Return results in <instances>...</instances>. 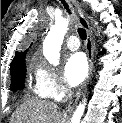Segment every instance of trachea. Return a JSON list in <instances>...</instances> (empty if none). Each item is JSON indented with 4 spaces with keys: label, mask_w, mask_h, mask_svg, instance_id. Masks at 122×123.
<instances>
[{
    "label": "trachea",
    "mask_w": 122,
    "mask_h": 123,
    "mask_svg": "<svg viewBox=\"0 0 122 123\" xmlns=\"http://www.w3.org/2000/svg\"><path fill=\"white\" fill-rule=\"evenodd\" d=\"M62 4L64 5V7H65V9L67 10V12H68L69 14H71V11H70V9H69V6H68V4H67L64 0L62 1ZM78 33H79V36H80V38H81L82 40H85V39H86L87 35H86L85 29H83V28H78Z\"/></svg>",
    "instance_id": "trachea-1"
}]
</instances>
